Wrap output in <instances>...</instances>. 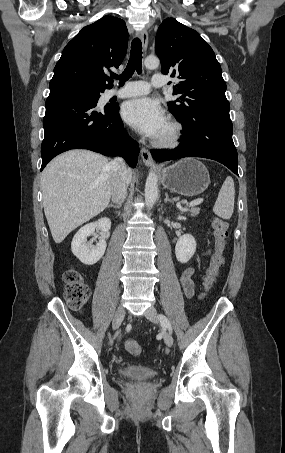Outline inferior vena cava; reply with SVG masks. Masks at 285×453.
<instances>
[{
	"mask_svg": "<svg viewBox=\"0 0 285 453\" xmlns=\"http://www.w3.org/2000/svg\"><path fill=\"white\" fill-rule=\"evenodd\" d=\"M114 171L112 179V201L121 204L127 195V186L129 184L128 169L123 158L116 157L110 162Z\"/></svg>",
	"mask_w": 285,
	"mask_h": 453,
	"instance_id": "602c4592",
	"label": "inferior vena cava"
}]
</instances>
